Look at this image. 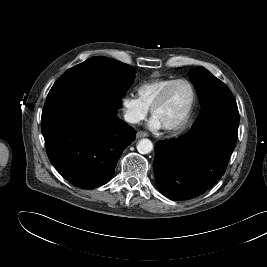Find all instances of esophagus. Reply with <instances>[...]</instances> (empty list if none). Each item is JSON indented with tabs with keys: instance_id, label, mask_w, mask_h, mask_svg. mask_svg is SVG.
Masks as SVG:
<instances>
[{
	"instance_id": "1",
	"label": "esophagus",
	"mask_w": 267,
	"mask_h": 267,
	"mask_svg": "<svg viewBox=\"0 0 267 267\" xmlns=\"http://www.w3.org/2000/svg\"><path fill=\"white\" fill-rule=\"evenodd\" d=\"M136 136H137V138L146 137L147 136V133L146 132H143V131H139V132H137Z\"/></svg>"
}]
</instances>
